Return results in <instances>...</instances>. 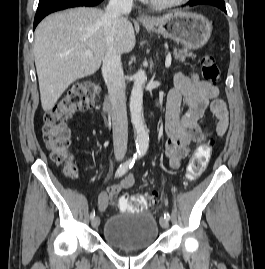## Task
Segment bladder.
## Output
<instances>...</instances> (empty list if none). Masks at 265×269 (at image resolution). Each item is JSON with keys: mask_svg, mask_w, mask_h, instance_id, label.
Returning <instances> with one entry per match:
<instances>
[{"mask_svg": "<svg viewBox=\"0 0 265 269\" xmlns=\"http://www.w3.org/2000/svg\"><path fill=\"white\" fill-rule=\"evenodd\" d=\"M105 241L121 250H144L158 239V224L149 211L114 214L104 225Z\"/></svg>", "mask_w": 265, "mask_h": 269, "instance_id": "obj_1", "label": "bladder"}]
</instances>
